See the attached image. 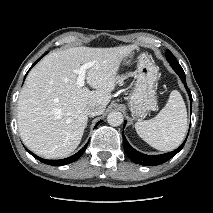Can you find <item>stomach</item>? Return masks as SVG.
Returning <instances> with one entry per match:
<instances>
[{
	"label": "stomach",
	"instance_id": "1",
	"mask_svg": "<svg viewBox=\"0 0 213 213\" xmlns=\"http://www.w3.org/2000/svg\"><path fill=\"white\" fill-rule=\"evenodd\" d=\"M132 61L133 53H130L123 59V64L130 65ZM137 62V81L129 93L128 102L133 117L140 118L156 108L155 83L159 72L155 63L144 53L138 57Z\"/></svg>",
	"mask_w": 213,
	"mask_h": 213
}]
</instances>
